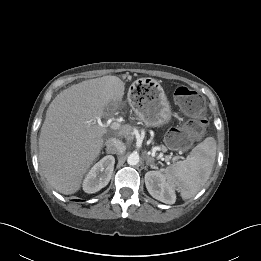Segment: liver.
<instances>
[{
  "instance_id": "obj_1",
  "label": "liver",
  "mask_w": 261,
  "mask_h": 261,
  "mask_svg": "<svg viewBox=\"0 0 261 261\" xmlns=\"http://www.w3.org/2000/svg\"><path fill=\"white\" fill-rule=\"evenodd\" d=\"M124 83L116 76L90 79L59 93L50 103L39 137V162L48 183L62 194L77 192L104 144L97 124L110 103L122 101ZM123 125L118 136H129Z\"/></svg>"
}]
</instances>
